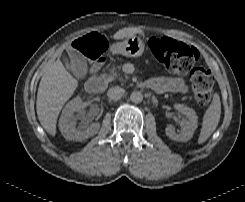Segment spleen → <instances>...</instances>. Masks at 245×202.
<instances>
[{"mask_svg": "<svg viewBox=\"0 0 245 202\" xmlns=\"http://www.w3.org/2000/svg\"><path fill=\"white\" fill-rule=\"evenodd\" d=\"M221 115V102L220 97L217 93L214 94L213 100L206 110L204 117L201 132L198 138V143H204L211 134L215 131L218 126Z\"/></svg>", "mask_w": 245, "mask_h": 202, "instance_id": "obj_1", "label": "spleen"}]
</instances>
